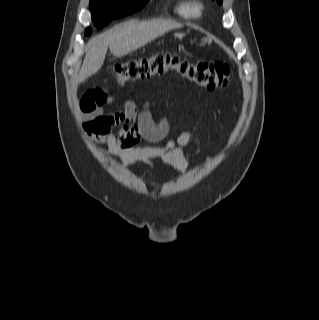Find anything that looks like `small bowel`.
Listing matches in <instances>:
<instances>
[{
    "label": "small bowel",
    "instance_id": "obj_1",
    "mask_svg": "<svg viewBox=\"0 0 319 320\" xmlns=\"http://www.w3.org/2000/svg\"><path fill=\"white\" fill-rule=\"evenodd\" d=\"M110 102L109 96L100 88L88 91L81 100L80 108L84 115L83 129L86 135L106 145L102 153L120 158L125 164L139 163L145 166L150 174L149 161L162 160L175 172H184L188 167L185 148L195 137V132L189 129L178 132L175 139L167 141L162 146H135L126 143L123 133L112 134L111 128L119 120L125 119L134 124L148 123L154 127L168 131V123L164 118L154 122L148 111L139 112L132 101H125L120 111L105 110ZM211 159V158H210Z\"/></svg>",
    "mask_w": 319,
    "mask_h": 320
}]
</instances>
